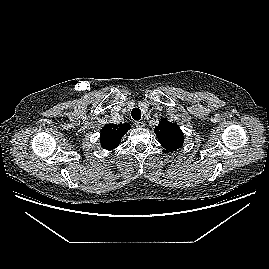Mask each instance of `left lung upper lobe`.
<instances>
[{"label":"left lung upper lobe","mask_w":269,"mask_h":269,"mask_svg":"<svg viewBox=\"0 0 269 269\" xmlns=\"http://www.w3.org/2000/svg\"><path fill=\"white\" fill-rule=\"evenodd\" d=\"M154 132L160 144L168 151L176 150L183 144V133L176 123L162 119L155 127Z\"/></svg>","instance_id":"left-lung-upper-lobe-1"}]
</instances>
